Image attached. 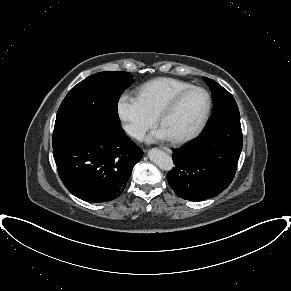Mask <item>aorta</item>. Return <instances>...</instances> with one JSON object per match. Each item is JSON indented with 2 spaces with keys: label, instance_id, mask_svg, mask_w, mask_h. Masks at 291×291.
I'll use <instances>...</instances> for the list:
<instances>
[{
  "label": "aorta",
  "instance_id": "762f6f07",
  "mask_svg": "<svg viewBox=\"0 0 291 291\" xmlns=\"http://www.w3.org/2000/svg\"><path fill=\"white\" fill-rule=\"evenodd\" d=\"M149 159L165 171H170L173 167V160L166 152L153 148L148 152Z\"/></svg>",
  "mask_w": 291,
  "mask_h": 291
}]
</instances>
